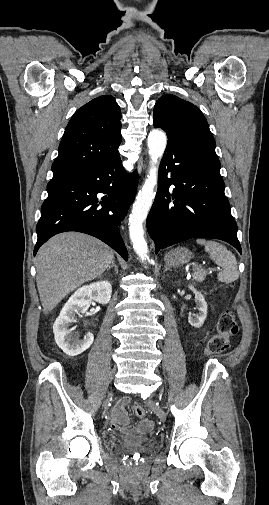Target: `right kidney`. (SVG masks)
Wrapping results in <instances>:
<instances>
[{"instance_id": "right-kidney-1", "label": "right kidney", "mask_w": 269, "mask_h": 505, "mask_svg": "<svg viewBox=\"0 0 269 505\" xmlns=\"http://www.w3.org/2000/svg\"><path fill=\"white\" fill-rule=\"evenodd\" d=\"M111 294V284L108 281H99L79 288L69 298L53 325L55 341L64 353L72 357L77 356L92 345L94 341L92 333H87L80 340L78 333L68 327L70 323L75 322L76 314L79 315L88 310L92 301L107 304Z\"/></svg>"}]
</instances>
